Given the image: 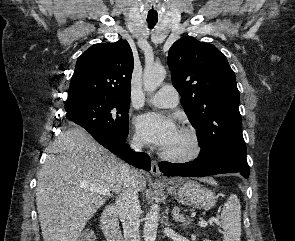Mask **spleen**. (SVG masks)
Masks as SVG:
<instances>
[{
  "label": "spleen",
  "instance_id": "spleen-1",
  "mask_svg": "<svg viewBox=\"0 0 295 241\" xmlns=\"http://www.w3.org/2000/svg\"><path fill=\"white\" fill-rule=\"evenodd\" d=\"M214 184L212 180H207ZM221 224L224 230L223 241H240L241 237V205L235 194L230 195L221 212Z\"/></svg>",
  "mask_w": 295,
  "mask_h": 241
}]
</instances>
